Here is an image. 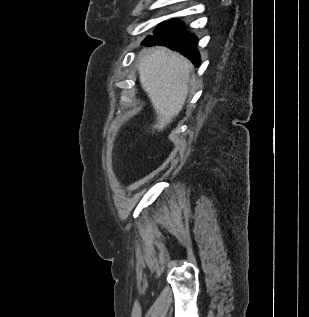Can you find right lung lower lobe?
<instances>
[{
  "mask_svg": "<svg viewBox=\"0 0 309 317\" xmlns=\"http://www.w3.org/2000/svg\"><path fill=\"white\" fill-rule=\"evenodd\" d=\"M197 38L191 33L185 31L184 23L176 20H169L163 23V26L157 30L153 36H148L142 45L166 46L172 50L180 52L191 60L198 67L201 63L199 53L196 49Z\"/></svg>",
  "mask_w": 309,
  "mask_h": 317,
  "instance_id": "1",
  "label": "right lung lower lobe"
}]
</instances>
